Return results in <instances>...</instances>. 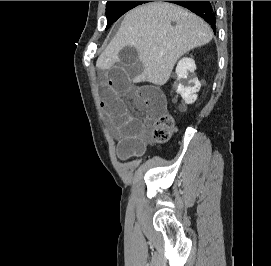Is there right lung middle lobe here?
<instances>
[{"instance_id": "1", "label": "right lung middle lobe", "mask_w": 271, "mask_h": 266, "mask_svg": "<svg viewBox=\"0 0 271 266\" xmlns=\"http://www.w3.org/2000/svg\"><path fill=\"white\" fill-rule=\"evenodd\" d=\"M150 1H107L106 4V17L107 27L106 30L115 22L119 17L130 9L147 3Z\"/></svg>"}]
</instances>
